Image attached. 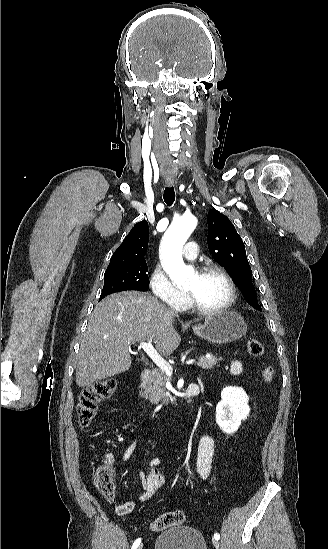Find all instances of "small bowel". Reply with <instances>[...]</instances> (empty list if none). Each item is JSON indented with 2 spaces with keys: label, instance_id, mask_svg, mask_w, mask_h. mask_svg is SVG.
<instances>
[{
  "label": "small bowel",
  "instance_id": "small-bowel-1",
  "mask_svg": "<svg viewBox=\"0 0 328 549\" xmlns=\"http://www.w3.org/2000/svg\"><path fill=\"white\" fill-rule=\"evenodd\" d=\"M241 362L234 360L230 364V370L233 375H239L242 373ZM136 447V440H132L127 448L123 451L121 458L127 460L130 458ZM215 441L210 434L201 436L197 445V460L196 467L199 476L202 479H206L212 468V460L214 455ZM103 462L109 469H112L115 464V456L112 453H106L103 455ZM162 463L160 457L152 458L145 470H141L139 473V479L142 487V493L139 497V502L149 501L161 488L166 484L165 479L160 474L158 466ZM136 507L134 501H126L117 508V512L120 515L132 512Z\"/></svg>",
  "mask_w": 328,
  "mask_h": 549
}]
</instances>
